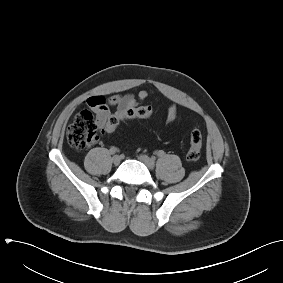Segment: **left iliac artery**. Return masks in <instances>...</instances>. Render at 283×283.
<instances>
[{"mask_svg": "<svg viewBox=\"0 0 283 283\" xmlns=\"http://www.w3.org/2000/svg\"><path fill=\"white\" fill-rule=\"evenodd\" d=\"M164 151L163 150H159L158 151V153H157V155L159 156V157H162V156H164Z\"/></svg>", "mask_w": 283, "mask_h": 283, "instance_id": "1", "label": "left iliac artery"}]
</instances>
